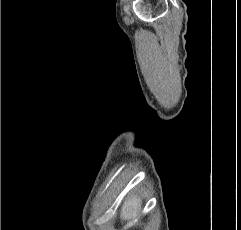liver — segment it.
Here are the masks:
<instances>
[{"label":"liver","instance_id":"1","mask_svg":"<svg viewBox=\"0 0 241 230\" xmlns=\"http://www.w3.org/2000/svg\"><path fill=\"white\" fill-rule=\"evenodd\" d=\"M142 208V201L139 197L132 196L128 197L120 211V218L122 221H131L132 219L136 218Z\"/></svg>","mask_w":241,"mask_h":230}]
</instances>
